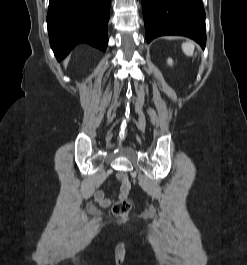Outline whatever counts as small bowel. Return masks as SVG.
<instances>
[{"mask_svg": "<svg viewBox=\"0 0 247 265\" xmlns=\"http://www.w3.org/2000/svg\"><path fill=\"white\" fill-rule=\"evenodd\" d=\"M128 191L121 190L119 198L120 199H126L127 198ZM94 198L96 202H98L103 208L108 207L111 204V200L105 197V194L103 191L98 190L94 194Z\"/></svg>", "mask_w": 247, "mask_h": 265, "instance_id": "obj_1", "label": "small bowel"}]
</instances>
